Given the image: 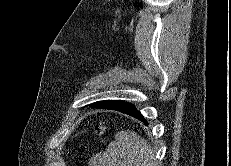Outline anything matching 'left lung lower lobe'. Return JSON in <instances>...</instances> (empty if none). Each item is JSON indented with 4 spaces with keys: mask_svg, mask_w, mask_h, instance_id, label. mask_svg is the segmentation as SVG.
<instances>
[{
    "mask_svg": "<svg viewBox=\"0 0 231 166\" xmlns=\"http://www.w3.org/2000/svg\"><path fill=\"white\" fill-rule=\"evenodd\" d=\"M90 107L96 108V109L116 110V111L125 113L127 115H130L132 117H135L139 119L140 121L145 122V124H147L142 114L135 108L134 105L121 101V100L98 101V102L90 104Z\"/></svg>",
    "mask_w": 231,
    "mask_h": 166,
    "instance_id": "1",
    "label": "left lung lower lobe"
}]
</instances>
